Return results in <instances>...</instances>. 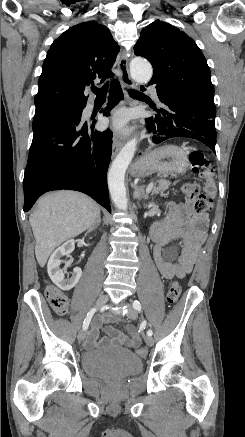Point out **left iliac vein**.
<instances>
[{
	"label": "left iliac vein",
	"mask_w": 245,
	"mask_h": 437,
	"mask_svg": "<svg viewBox=\"0 0 245 437\" xmlns=\"http://www.w3.org/2000/svg\"><path fill=\"white\" fill-rule=\"evenodd\" d=\"M127 316H128L130 319H133V320L137 318V312H136V310H135L131 305H129V304H127ZM144 339H145V342H146V344H147L148 346H151V345L153 344V339H152V337H150V336H145Z\"/></svg>",
	"instance_id": "4c4485c4"
}]
</instances>
